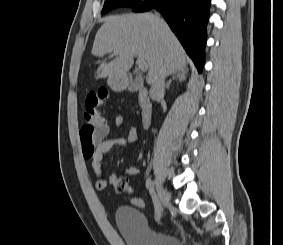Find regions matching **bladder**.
Instances as JSON below:
<instances>
[{
    "label": "bladder",
    "instance_id": "1",
    "mask_svg": "<svg viewBox=\"0 0 283 245\" xmlns=\"http://www.w3.org/2000/svg\"><path fill=\"white\" fill-rule=\"evenodd\" d=\"M115 219L126 245H183L179 237L150 227L144 214L135 207H118Z\"/></svg>",
    "mask_w": 283,
    "mask_h": 245
}]
</instances>
